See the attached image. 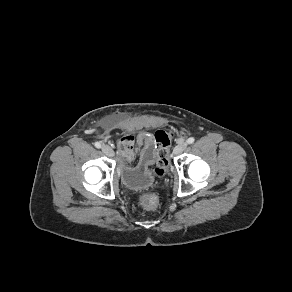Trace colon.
Here are the masks:
<instances>
[{"label":"colon","instance_id":"colon-1","mask_svg":"<svg viewBox=\"0 0 292 292\" xmlns=\"http://www.w3.org/2000/svg\"><path fill=\"white\" fill-rule=\"evenodd\" d=\"M174 137L175 134L172 130H161L155 134V140L158 146V158L154 172L158 177H162L166 173L170 145ZM139 203L142 208L153 210L158 206L159 198L154 193H145L140 196Z\"/></svg>","mask_w":292,"mask_h":292}]
</instances>
